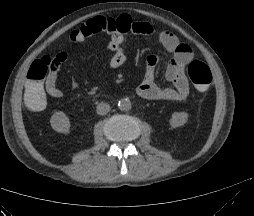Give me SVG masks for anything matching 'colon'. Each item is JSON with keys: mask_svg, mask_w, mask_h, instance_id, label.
Listing matches in <instances>:
<instances>
[{"mask_svg": "<svg viewBox=\"0 0 254 216\" xmlns=\"http://www.w3.org/2000/svg\"><path fill=\"white\" fill-rule=\"evenodd\" d=\"M60 64L59 56L55 55L46 56L31 65L27 74L25 92L22 96V103L28 111L39 113L47 107L49 96L43 89V82L48 72L58 70ZM187 73L198 91L205 92L209 89L212 82V72L207 64L200 60H192L187 66Z\"/></svg>", "mask_w": 254, "mask_h": 216, "instance_id": "colon-1", "label": "colon"}]
</instances>
